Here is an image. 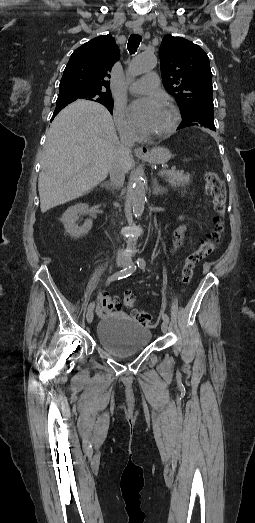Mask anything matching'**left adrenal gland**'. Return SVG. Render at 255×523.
I'll list each match as a JSON object with an SVG mask.
<instances>
[{
    "instance_id": "1",
    "label": "left adrenal gland",
    "mask_w": 255,
    "mask_h": 523,
    "mask_svg": "<svg viewBox=\"0 0 255 523\" xmlns=\"http://www.w3.org/2000/svg\"><path fill=\"white\" fill-rule=\"evenodd\" d=\"M152 188H153L152 194H155V196H159V194H166L165 188H162V186H159V184L157 182V178H153Z\"/></svg>"
}]
</instances>
